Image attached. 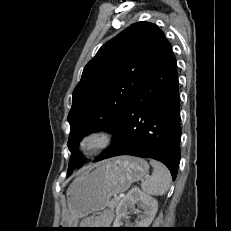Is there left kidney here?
Returning a JSON list of instances; mask_svg holds the SVG:
<instances>
[{
  "label": "left kidney",
  "mask_w": 231,
  "mask_h": 231,
  "mask_svg": "<svg viewBox=\"0 0 231 231\" xmlns=\"http://www.w3.org/2000/svg\"><path fill=\"white\" fill-rule=\"evenodd\" d=\"M137 204L144 211L139 216V220L135 222L134 228H147L153 221L158 209V202L155 198L145 194L139 188H133L119 202L116 208V218L113 223V228H120L126 217L127 212Z\"/></svg>",
  "instance_id": "left-kidney-1"
}]
</instances>
